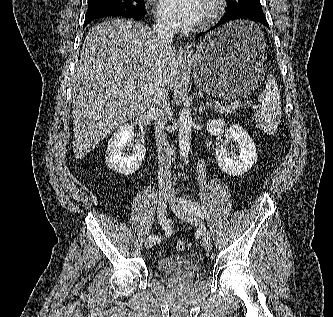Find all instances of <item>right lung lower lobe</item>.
Segmentation results:
<instances>
[{"label": "right lung lower lobe", "instance_id": "1", "mask_svg": "<svg viewBox=\"0 0 333 317\" xmlns=\"http://www.w3.org/2000/svg\"><path fill=\"white\" fill-rule=\"evenodd\" d=\"M106 16H122L127 18H132L135 20H141L143 18V15L139 14H115V13H107V14H101V15H93V16H85L84 26H86L89 22L96 18L106 17Z\"/></svg>", "mask_w": 333, "mask_h": 317}]
</instances>
